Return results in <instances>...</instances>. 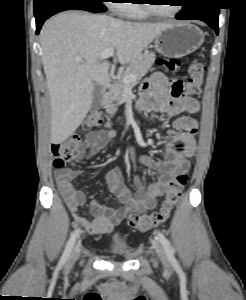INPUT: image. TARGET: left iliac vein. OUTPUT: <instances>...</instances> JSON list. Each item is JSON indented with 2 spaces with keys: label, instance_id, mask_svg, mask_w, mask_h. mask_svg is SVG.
Segmentation results:
<instances>
[{
  "label": "left iliac vein",
  "instance_id": "left-iliac-vein-1",
  "mask_svg": "<svg viewBox=\"0 0 246 300\" xmlns=\"http://www.w3.org/2000/svg\"><path fill=\"white\" fill-rule=\"evenodd\" d=\"M155 249H156V253H157L159 259L161 260V262L165 266H168L169 265L168 258H167L166 253L164 252L163 248L158 243H156Z\"/></svg>",
  "mask_w": 246,
  "mask_h": 300
}]
</instances>
